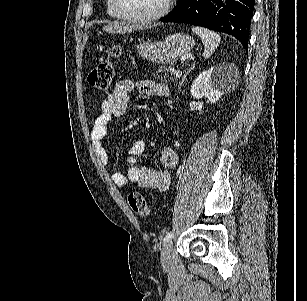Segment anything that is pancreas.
I'll list each match as a JSON object with an SVG mask.
<instances>
[{"mask_svg": "<svg viewBox=\"0 0 307 301\" xmlns=\"http://www.w3.org/2000/svg\"><path fill=\"white\" fill-rule=\"evenodd\" d=\"M159 70H163L164 76L161 78H167V80H178L179 76H176L175 68H171V66H166V68H159Z\"/></svg>", "mask_w": 307, "mask_h": 301, "instance_id": "1", "label": "pancreas"}]
</instances>
